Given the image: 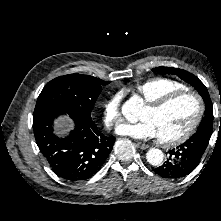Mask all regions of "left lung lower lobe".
I'll list each match as a JSON object with an SVG mask.
<instances>
[{
	"instance_id": "obj_1",
	"label": "left lung lower lobe",
	"mask_w": 221,
	"mask_h": 221,
	"mask_svg": "<svg viewBox=\"0 0 221 221\" xmlns=\"http://www.w3.org/2000/svg\"><path fill=\"white\" fill-rule=\"evenodd\" d=\"M210 137L209 133H195L185 143L168 151L167 161L154 171L168 179H179L189 175L199 164Z\"/></svg>"
}]
</instances>
